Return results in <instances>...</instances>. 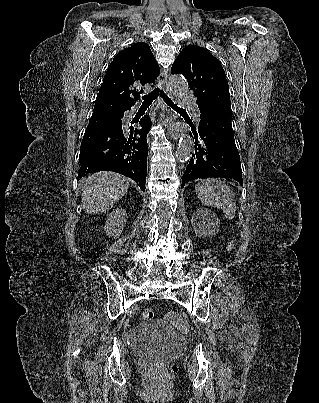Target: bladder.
Masks as SVG:
<instances>
[{
  "instance_id": "31cf9c89",
  "label": "bladder",
  "mask_w": 319,
  "mask_h": 403,
  "mask_svg": "<svg viewBox=\"0 0 319 403\" xmlns=\"http://www.w3.org/2000/svg\"><path fill=\"white\" fill-rule=\"evenodd\" d=\"M132 333L131 349L135 358L144 360L163 359L182 345L181 336L163 320L147 319Z\"/></svg>"
}]
</instances>
